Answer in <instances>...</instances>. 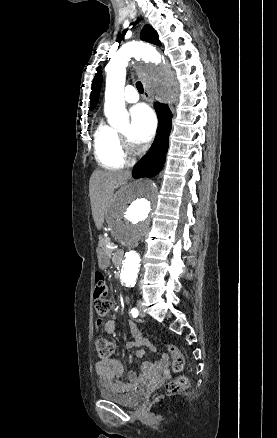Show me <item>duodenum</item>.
Segmentation results:
<instances>
[{
  "label": "duodenum",
  "instance_id": "obj_1",
  "mask_svg": "<svg viewBox=\"0 0 277 438\" xmlns=\"http://www.w3.org/2000/svg\"><path fill=\"white\" fill-rule=\"evenodd\" d=\"M123 259H124V252L123 251H116L114 253L113 260H114V263L116 266H121Z\"/></svg>",
  "mask_w": 277,
  "mask_h": 438
}]
</instances>
